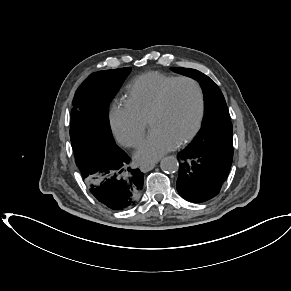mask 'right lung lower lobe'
<instances>
[{
  "label": "right lung lower lobe",
  "instance_id": "98d812e1",
  "mask_svg": "<svg viewBox=\"0 0 291 291\" xmlns=\"http://www.w3.org/2000/svg\"><path fill=\"white\" fill-rule=\"evenodd\" d=\"M129 162L128 155L120 149L79 167L92 195L111 210L129 209L139 200L144 173L131 168Z\"/></svg>",
  "mask_w": 291,
  "mask_h": 291
}]
</instances>
